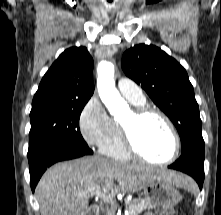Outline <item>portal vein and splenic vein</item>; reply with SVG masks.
<instances>
[{
  "mask_svg": "<svg viewBox=\"0 0 221 215\" xmlns=\"http://www.w3.org/2000/svg\"><path fill=\"white\" fill-rule=\"evenodd\" d=\"M99 191H100V190H99V189H97V190H95V193H96V194H98V193H99ZM104 199H110V197H104ZM126 215H128V214H126Z\"/></svg>",
  "mask_w": 221,
  "mask_h": 215,
  "instance_id": "obj_1",
  "label": "portal vein and splenic vein"
}]
</instances>
